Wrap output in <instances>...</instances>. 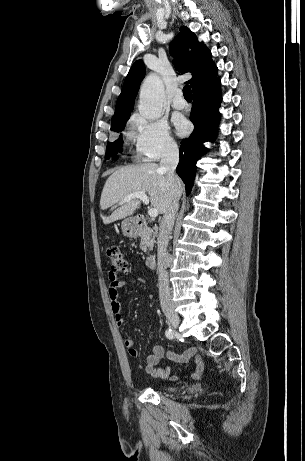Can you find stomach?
I'll return each mask as SVG.
<instances>
[{
    "label": "stomach",
    "instance_id": "0dacf381",
    "mask_svg": "<svg viewBox=\"0 0 305 461\" xmlns=\"http://www.w3.org/2000/svg\"><path fill=\"white\" fill-rule=\"evenodd\" d=\"M121 229L124 236L133 238L139 233V228L133 218L124 219L121 223Z\"/></svg>",
    "mask_w": 305,
    "mask_h": 461
}]
</instances>
